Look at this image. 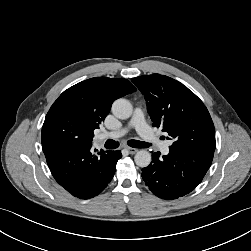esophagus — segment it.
I'll use <instances>...</instances> for the list:
<instances>
[{
  "label": "esophagus",
  "mask_w": 251,
  "mask_h": 251,
  "mask_svg": "<svg viewBox=\"0 0 251 251\" xmlns=\"http://www.w3.org/2000/svg\"><path fill=\"white\" fill-rule=\"evenodd\" d=\"M125 149H126V150L128 151V153H130V154H135V153L138 151V149L132 148V147H126Z\"/></svg>",
  "instance_id": "obj_1"
}]
</instances>
